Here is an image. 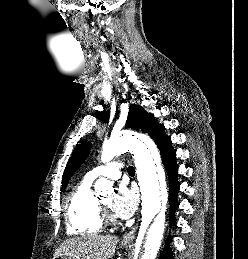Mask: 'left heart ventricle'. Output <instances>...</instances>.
<instances>
[{
  "label": "left heart ventricle",
  "instance_id": "1",
  "mask_svg": "<svg viewBox=\"0 0 248 259\" xmlns=\"http://www.w3.org/2000/svg\"><path fill=\"white\" fill-rule=\"evenodd\" d=\"M101 201H102L105 205H107L108 207H111V202H112L111 196H108V197H106V198H103V199H101Z\"/></svg>",
  "mask_w": 248,
  "mask_h": 259
}]
</instances>
